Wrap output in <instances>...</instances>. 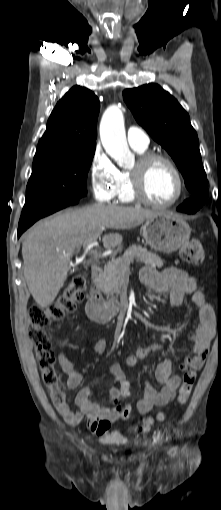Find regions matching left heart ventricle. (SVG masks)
<instances>
[{"label":"left heart ventricle","instance_id":"obj_1","mask_svg":"<svg viewBox=\"0 0 221 510\" xmlns=\"http://www.w3.org/2000/svg\"><path fill=\"white\" fill-rule=\"evenodd\" d=\"M144 189L148 198L153 201H170L178 191L176 176L166 163L156 162L150 166L147 172Z\"/></svg>","mask_w":221,"mask_h":510}]
</instances>
